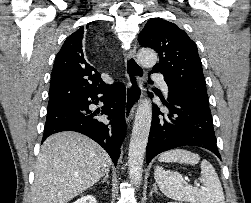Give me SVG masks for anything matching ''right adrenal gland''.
<instances>
[{
  "label": "right adrenal gland",
  "instance_id": "2a0ac1e0",
  "mask_svg": "<svg viewBox=\"0 0 251 203\" xmlns=\"http://www.w3.org/2000/svg\"><path fill=\"white\" fill-rule=\"evenodd\" d=\"M108 177H109V174L107 173V174L105 175V177L103 178V180H101V182H106L107 184H109V182H108Z\"/></svg>",
  "mask_w": 251,
  "mask_h": 203
}]
</instances>
